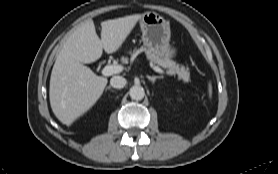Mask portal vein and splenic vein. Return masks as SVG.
<instances>
[{
  "mask_svg": "<svg viewBox=\"0 0 278 174\" xmlns=\"http://www.w3.org/2000/svg\"><path fill=\"white\" fill-rule=\"evenodd\" d=\"M153 69L158 73H161V74L165 73L164 70H162L158 66H154ZM122 70H123V66H121V65H107L103 68L102 74L104 76H111L113 74L120 73Z\"/></svg>",
  "mask_w": 278,
  "mask_h": 174,
  "instance_id": "obj_1",
  "label": "portal vein and splenic vein"
}]
</instances>
